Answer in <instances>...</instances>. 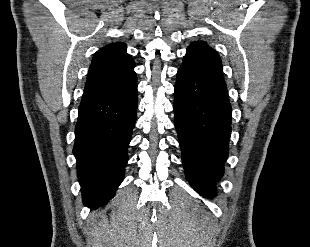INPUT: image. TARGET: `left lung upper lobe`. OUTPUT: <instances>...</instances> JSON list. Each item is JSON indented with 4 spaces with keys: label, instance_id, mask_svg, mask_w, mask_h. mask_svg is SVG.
I'll use <instances>...</instances> for the list:
<instances>
[{
    "label": "left lung upper lobe",
    "instance_id": "5c2ea615",
    "mask_svg": "<svg viewBox=\"0 0 310 247\" xmlns=\"http://www.w3.org/2000/svg\"><path fill=\"white\" fill-rule=\"evenodd\" d=\"M180 68L223 79L221 59L205 42H193L188 47Z\"/></svg>",
    "mask_w": 310,
    "mask_h": 247
}]
</instances>
